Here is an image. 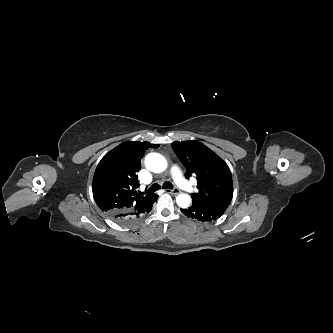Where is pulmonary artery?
<instances>
[{
	"label": "pulmonary artery",
	"instance_id": "pulmonary-artery-1",
	"mask_svg": "<svg viewBox=\"0 0 333 333\" xmlns=\"http://www.w3.org/2000/svg\"><path fill=\"white\" fill-rule=\"evenodd\" d=\"M170 172L176 182V184L186 192H192V185L183 177L180 168L176 165L172 166Z\"/></svg>",
	"mask_w": 333,
	"mask_h": 333
}]
</instances>
